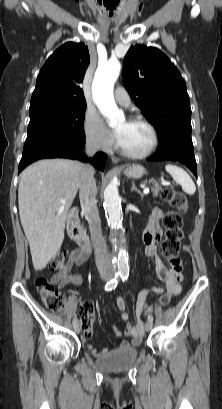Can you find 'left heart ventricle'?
Wrapping results in <instances>:
<instances>
[{"label": "left heart ventricle", "instance_id": "1", "mask_svg": "<svg viewBox=\"0 0 222 409\" xmlns=\"http://www.w3.org/2000/svg\"><path fill=\"white\" fill-rule=\"evenodd\" d=\"M114 129L121 134L118 144L129 152L141 153L151 144V132L143 124L122 120L115 125Z\"/></svg>", "mask_w": 222, "mask_h": 409}]
</instances>
